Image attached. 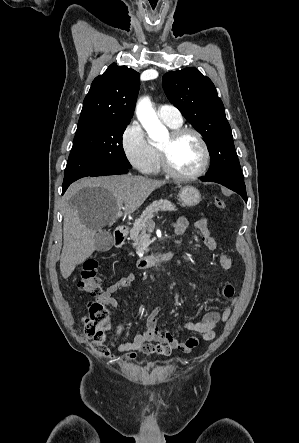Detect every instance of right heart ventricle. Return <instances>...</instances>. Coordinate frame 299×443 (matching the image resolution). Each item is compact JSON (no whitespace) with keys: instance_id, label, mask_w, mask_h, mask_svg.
<instances>
[{"instance_id":"1","label":"right heart ventricle","mask_w":299,"mask_h":443,"mask_svg":"<svg viewBox=\"0 0 299 443\" xmlns=\"http://www.w3.org/2000/svg\"><path fill=\"white\" fill-rule=\"evenodd\" d=\"M164 122L172 129H176L181 126V124H172L166 121ZM151 148L153 152V166L150 172H158L161 170L159 146L152 145Z\"/></svg>"}]
</instances>
